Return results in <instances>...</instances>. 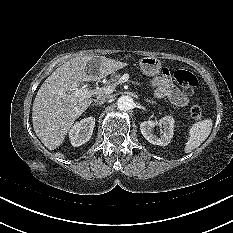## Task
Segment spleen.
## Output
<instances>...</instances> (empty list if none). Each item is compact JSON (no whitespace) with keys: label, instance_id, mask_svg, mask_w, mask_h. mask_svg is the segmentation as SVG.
I'll return each instance as SVG.
<instances>
[{"label":"spleen","instance_id":"obj_1","mask_svg":"<svg viewBox=\"0 0 233 233\" xmlns=\"http://www.w3.org/2000/svg\"><path fill=\"white\" fill-rule=\"evenodd\" d=\"M213 126L211 119H204L192 124L189 128V138L186 142L184 152L190 153L198 148L210 135Z\"/></svg>","mask_w":233,"mask_h":233}]
</instances>
